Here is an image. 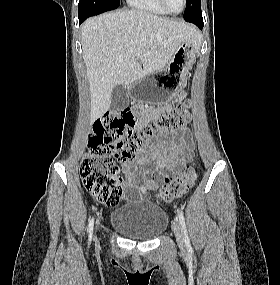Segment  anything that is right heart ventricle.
<instances>
[{
	"instance_id": "e07e8e85",
	"label": "right heart ventricle",
	"mask_w": 280,
	"mask_h": 285,
	"mask_svg": "<svg viewBox=\"0 0 280 285\" xmlns=\"http://www.w3.org/2000/svg\"><path fill=\"white\" fill-rule=\"evenodd\" d=\"M128 3L145 12H150L159 15H167L168 12L163 8L159 0H127Z\"/></svg>"
}]
</instances>
